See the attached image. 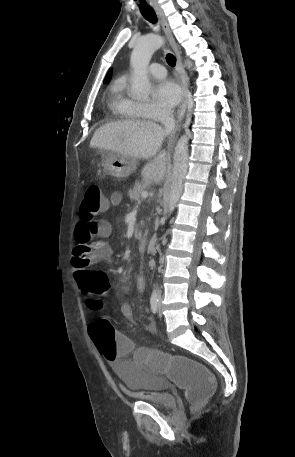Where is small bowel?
<instances>
[{
	"label": "small bowel",
	"mask_w": 295,
	"mask_h": 457,
	"mask_svg": "<svg viewBox=\"0 0 295 457\" xmlns=\"http://www.w3.org/2000/svg\"><path fill=\"white\" fill-rule=\"evenodd\" d=\"M122 202V195L119 192L111 194L108 205L118 206ZM112 226L106 219L93 220L91 222H79L75 228V251L78 247H87L89 251L86 253V265L83 267H76L75 261L77 259L74 254L72 260L73 278L80 290L84 294L87 289V271L93 270V267L99 263H112L113 252L110 245L104 240L111 236ZM100 240H94V238ZM95 271V270H93ZM136 287L142 292L145 289V281L143 278L136 279ZM121 314L127 318H133V309L129 303H123L120 306ZM151 331L154 330L152 324L149 325ZM129 341H131L129 339ZM95 344V343H94ZM112 362V360H110ZM113 363V362H112Z\"/></svg>",
	"instance_id": "obj_1"
}]
</instances>
